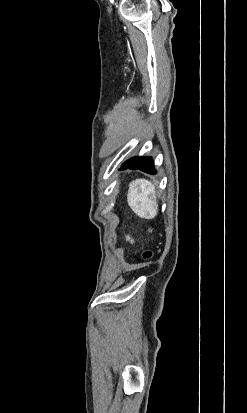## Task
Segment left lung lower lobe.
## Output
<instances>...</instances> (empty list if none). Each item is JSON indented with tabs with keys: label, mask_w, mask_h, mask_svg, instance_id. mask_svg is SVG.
Returning a JSON list of instances; mask_svg holds the SVG:
<instances>
[{
	"label": "left lung lower lobe",
	"mask_w": 247,
	"mask_h": 413,
	"mask_svg": "<svg viewBox=\"0 0 247 413\" xmlns=\"http://www.w3.org/2000/svg\"><path fill=\"white\" fill-rule=\"evenodd\" d=\"M153 161L150 157L132 158L128 160L119 170L132 169L141 170L146 173L153 174Z\"/></svg>",
	"instance_id": "1"
}]
</instances>
